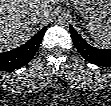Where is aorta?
I'll return each mask as SVG.
<instances>
[{"label":"aorta","mask_w":111,"mask_h":106,"mask_svg":"<svg viewBox=\"0 0 111 106\" xmlns=\"http://www.w3.org/2000/svg\"><path fill=\"white\" fill-rule=\"evenodd\" d=\"M57 21L60 25H64V26L67 25V19L64 16L58 17Z\"/></svg>","instance_id":"obj_1"}]
</instances>
